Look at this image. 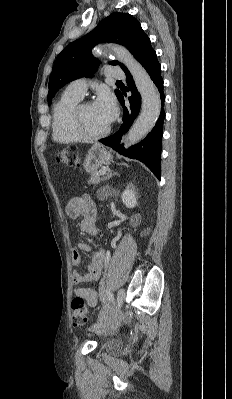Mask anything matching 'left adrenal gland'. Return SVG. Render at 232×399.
I'll use <instances>...</instances> for the list:
<instances>
[{"label": "left adrenal gland", "mask_w": 232, "mask_h": 399, "mask_svg": "<svg viewBox=\"0 0 232 399\" xmlns=\"http://www.w3.org/2000/svg\"><path fill=\"white\" fill-rule=\"evenodd\" d=\"M112 176H119V174H117V172H114V174H110V178H112Z\"/></svg>", "instance_id": "left-adrenal-gland-1"}]
</instances>
